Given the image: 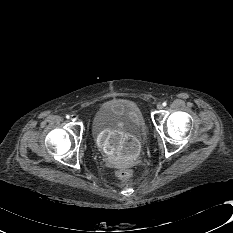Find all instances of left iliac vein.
<instances>
[{
	"label": "left iliac vein",
	"instance_id": "1",
	"mask_svg": "<svg viewBox=\"0 0 233 233\" xmlns=\"http://www.w3.org/2000/svg\"><path fill=\"white\" fill-rule=\"evenodd\" d=\"M163 108V105L162 104H158L157 105V109L161 110Z\"/></svg>",
	"mask_w": 233,
	"mask_h": 233
}]
</instances>
